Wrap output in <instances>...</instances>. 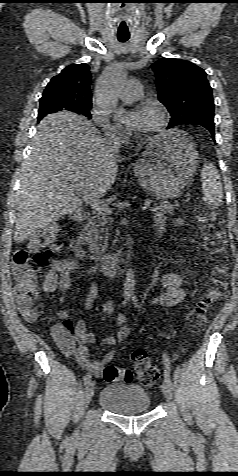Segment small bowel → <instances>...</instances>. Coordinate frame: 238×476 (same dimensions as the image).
<instances>
[{
	"mask_svg": "<svg viewBox=\"0 0 238 476\" xmlns=\"http://www.w3.org/2000/svg\"><path fill=\"white\" fill-rule=\"evenodd\" d=\"M165 221L162 217L156 220V228L159 237H161ZM81 270L80 264L73 259L58 260L51 264L50 268L44 273L42 281V291L44 293H53L60 291L64 295H70V273H78ZM161 284L164 292L154 299L155 303L162 306L172 307L181 303L186 295V290L182 287L183 279L176 273H167L162 276ZM98 285L95 281L90 282V287L83 306L91 308L98 296ZM114 302L107 301L103 310L106 313L112 311ZM125 316H120L115 321L119 327L115 335L108 336L102 341L104 346H115L124 341L130 334ZM52 336L59 348L66 356H73L76 362L95 376L103 373L105 366L113 359L114 350L107 351L101 358L96 357L90 345L95 343L96 336L86 330V324L83 319H74L67 312L59 314V321L51 330Z\"/></svg>",
	"mask_w": 238,
	"mask_h": 476,
	"instance_id": "1",
	"label": "small bowel"
}]
</instances>
